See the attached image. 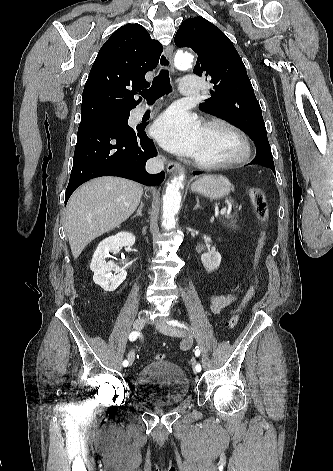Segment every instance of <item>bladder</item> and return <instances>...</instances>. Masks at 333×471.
I'll use <instances>...</instances> for the list:
<instances>
[{
  "label": "bladder",
  "instance_id": "obj_1",
  "mask_svg": "<svg viewBox=\"0 0 333 471\" xmlns=\"http://www.w3.org/2000/svg\"><path fill=\"white\" fill-rule=\"evenodd\" d=\"M189 379L184 370L168 360L145 364L134 380L135 395L150 405H175L188 394Z\"/></svg>",
  "mask_w": 333,
  "mask_h": 471
}]
</instances>
